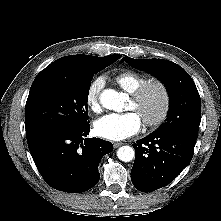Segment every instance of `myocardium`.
I'll list each match as a JSON object with an SVG mask.
<instances>
[{
	"instance_id": "1",
	"label": "myocardium",
	"mask_w": 221,
	"mask_h": 221,
	"mask_svg": "<svg viewBox=\"0 0 221 221\" xmlns=\"http://www.w3.org/2000/svg\"><path fill=\"white\" fill-rule=\"evenodd\" d=\"M156 88L160 91L162 96V106L159 113L151 119H143V123L148 128H155L161 125L169 115L171 109V92L168 85L160 79L147 80L145 83L140 85L132 94L131 101L134 104H139L146 93L150 90Z\"/></svg>"
}]
</instances>
